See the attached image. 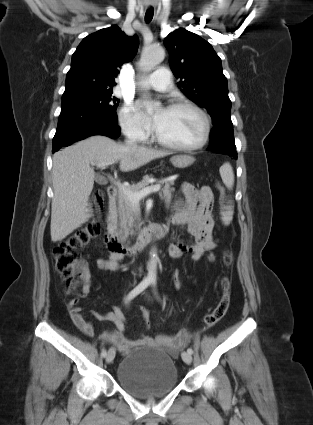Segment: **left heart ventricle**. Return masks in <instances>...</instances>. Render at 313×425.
Wrapping results in <instances>:
<instances>
[{"label":"left heart ventricle","instance_id":"b2bd125f","mask_svg":"<svg viewBox=\"0 0 313 425\" xmlns=\"http://www.w3.org/2000/svg\"><path fill=\"white\" fill-rule=\"evenodd\" d=\"M156 133L161 139L173 144L194 145L201 139L203 123L192 110L166 109Z\"/></svg>","mask_w":313,"mask_h":425}]
</instances>
